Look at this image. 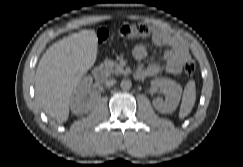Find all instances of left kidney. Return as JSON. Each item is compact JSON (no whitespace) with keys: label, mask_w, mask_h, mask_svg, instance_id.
Returning <instances> with one entry per match:
<instances>
[{"label":"left kidney","mask_w":243,"mask_h":167,"mask_svg":"<svg viewBox=\"0 0 243 167\" xmlns=\"http://www.w3.org/2000/svg\"><path fill=\"white\" fill-rule=\"evenodd\" d=\"M153 89H160L165 95L166 99L163 101L158 98L153 101V106L161 113H171L174 111L180 101L182 88L175 81L167 78H161L151 81Z\"/></svg>","instance_id":"left-kidney-1"}]
</instances>
